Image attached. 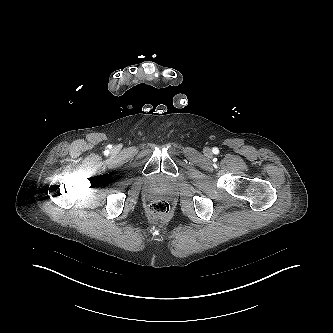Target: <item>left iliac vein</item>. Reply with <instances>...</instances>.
I'll return each instance as SVG.
<instances>
[{
  "mask_svg": "<svg viewBox=\"0 0 333 333\" xmlns=\"http://www.w3.org/2000/svg\"><path fill=\"white\" fill-rule=\"evenodd\" d=\"M205 154L206 155H210L211 154V150L209 148H205Z\"/></svg>",
  "mask_w": 333,
  "mask_h": 333,
  "instance_id": "4c4485c4",
  "label": "left iliac vein"
}]
</instances>
